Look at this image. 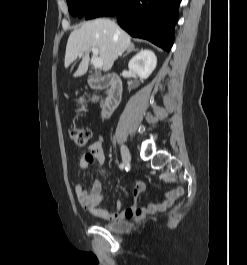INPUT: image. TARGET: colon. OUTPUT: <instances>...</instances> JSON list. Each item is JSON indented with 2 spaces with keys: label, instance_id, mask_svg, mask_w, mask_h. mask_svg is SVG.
<instances>
[{
  "label": "colon",
  "instance_id": "colon-1",
  "mask_svg": "<svg viewBox=\"0 0 247 265\" xmlns=\"http://www.w3.org/2000/svg\"><path fill=\"white\" fill-rule=\"evenodd\" d=\"M96 100L100 99V96L95 97ZM92 136L90 128L83 126V127H76L73 126L69 129V137L71 141L78 147L84 148L87 146L90 138Z\"/></svg>",
  "mask_w": 247,
  "mask_h": 265
}]
</instances>
